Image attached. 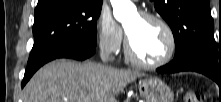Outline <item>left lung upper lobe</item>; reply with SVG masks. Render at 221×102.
Wrapping results in <instances>:
<instances>
[{
    "mask_svg": "<svg viewBox=\"0 0 221 102\" xmlns=\"http://www.w3.org/2000/svg\"><path fill=\"white\" fill-rule=\"evenodd\" d=\"M175 39V57L198 52L221 66V47L216 46L208 0H154Z\"/></svg>",
    "mask_w": 221,
    "mask_h": 102,
    "instance_id": "5c2ea615",
    "label": "left lung upper lobe"
}]
</instances>
